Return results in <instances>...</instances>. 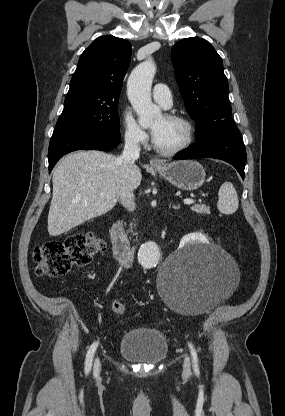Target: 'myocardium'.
<instances>
[{
	"instance_id": "f54148a6",
	"label": "myocardium",
	"mask_w": 285,
	"mask_h": 416,
	"mask_svg": "<svg viewBox=\"0 0 285 416\" xmlns=\"http://www.w3.org/2000/svg\"><path fill=\"white\" fill-rule=\"evenodd\" d=\"M164 117L176 123H179L183 126L185 130V140L183 141L181 145L172 149L160 148L154 141V149L156 150L157 153L163 156H176L186 151L192 145L193 139H194V129H193L191 122L182 115H179L176 113H167V114H164Z\"/></svg>"
}]
</instances>
